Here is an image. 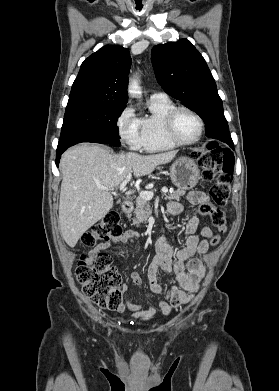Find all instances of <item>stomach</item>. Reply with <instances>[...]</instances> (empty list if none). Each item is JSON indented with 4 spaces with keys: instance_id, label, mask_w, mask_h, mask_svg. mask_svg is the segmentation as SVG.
<instances>
[{
    "instance_id": "stomach-1",
    "label": "stomach",
    "mask_w": 279,
    "mask_h": 391,
    "mask_svg": "<svg viewBox=\"0 0 279 391\" xmlns=\"http://www.w3.org/2000/svg\"><path fill=\"white\" fill-rule=\"evenodd\" d=\"M199 177L198 166L190 158H179L170 167V178L179 190L192 189L198 183Z\"/></svg>"
}]
</instances>
